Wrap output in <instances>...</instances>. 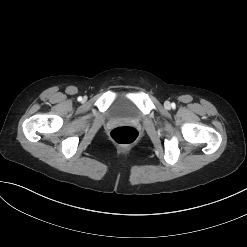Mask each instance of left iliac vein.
<instances>
[{
    "label": "left iliac vein",
    "instance_id": "4c4485c4",
    "mask_svg": "<svg viewBox=\"0 0 247 247\" xmlns=\"http://www.w3.org/2000/svg\"><path fill=\"white\" fill-rule=\"evenodd\" d=\"M164 106H165V108L169 109L171 107V104H170V102L166 101L164 103Z\"/></svg>",
    "mask_w": 247,
    "mask_h": 247
}]
</instances>
